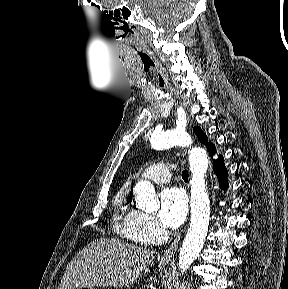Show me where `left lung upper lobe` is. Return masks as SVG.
<instances>
[{
    "mask_svg": "<svg viewBox=\"0 0 288 289\" xmlns=\"http://www.w3.org/2000/svg\"><path fill=\"white\" fill-rule=\"evenodd\" d=\"M197 138L199 139L200 142L206 145L207 149L208 147L212 144L211 142H208L207 137L205 133L200 129V127H194L193 128Z\"/></svg>",
    "mask_w": 288,
    "mask_h": 289,
    "instance_id": "1",
    "label": "left lung upper lobe"
}]
</instances>
